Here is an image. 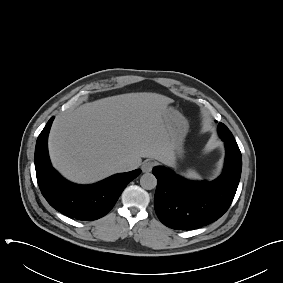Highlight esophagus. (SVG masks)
<instances>
[{
  "label": "esophagus",
  "mask_w": 283,
  "mask_h": 283,
  "mask_svg": "<svg viewBox=\"0 0 283 283\" xmlns=\"http://www.w3.org/2000/svg\"><path fill=\"white\" fill-rule=\"evenodd\" d=\"M153 167H154V162L151 160H146L143 162L141 169H142V172L147 173V172H150Z\"/></svg>",
  "instance_id": "esophagus-1"
}]
</instances>
